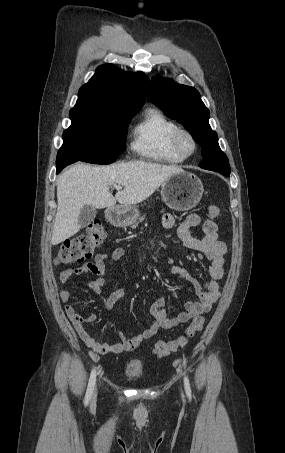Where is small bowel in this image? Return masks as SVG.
Returning <instances> with one entry per match:
<instances>
[{
    "instance_id": "1",
    "label": "small bowel",
    "mask_w": 285,
    "mask_h": 453,
    "mask_svg": "<svg viewBox=\"0 0 285 453\" xmlns=\"http://www.w3.org/2000/svg\"><path fill=\"white\" fill-rule=\"evenodd\" d=\"M202 225L204 236L196 238L191 235V229ZM162 225L165 229L175 227V218L172 214L167 213L162 217ZM218 227L212 220H202L197 214L188 215L177 227V237L188 249L202 253L209 261L208 279L203 283L199 282L189 271L180 266L170 267V273L187 280L194 288L197 301H187L185 303V311L180 312L177 316L168 318L164 309L165 299L161 297L157 299L151 306L150 313L153 317V322L141 334L128 338L120 334V341L116 343H102L97 341L86 329L85 325L96 321V314L87 316L80 315L75 308L69 304L71 294L69 290L59 287V296L65 305V312L74 325L75 330L82 341L99 354L108 353H123L133 351L143 341L151 339L158 331L172 329L180 324L186 323L190 319L199 317L201 314L210 311L213 304L220 297V280L224 275L225 253L227 245L224 241L218 239ZM127 253V249L118 247L110 254H97L93 262L85 263L76 268H69L60 274V282L64 284L70 278L86 273L93 275L89 281V287L92 292L100 298V301L106 311H110L114 304L120 300L125 291L116 289L103 297L102 291L105 286L106 264L108 260L119 261Z\"/></svg>"
}]
</instances>
